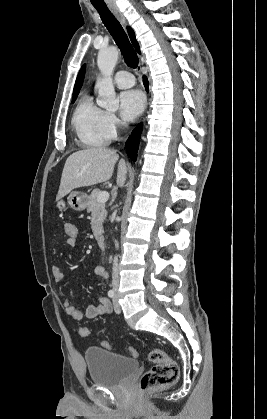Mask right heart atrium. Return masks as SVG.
I'll return each mask as SVG.
<instances>
[{"mask_svg": "<svg viewBox=\"0 0 267 419\" xmlns=\"http://www.w3.org/2000/svg\"><path fill=\"white\" fill-rule=\"evenodd\" d=\"M119 126V119L114 114L108 113L106 117V128L111 138L117 134Z\"/></svg>", "mask_w": 267, "mask_h": 419, "instance_id": "d8ad5b80", "label": "right heart atrium"}]
</instances>
